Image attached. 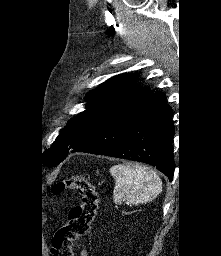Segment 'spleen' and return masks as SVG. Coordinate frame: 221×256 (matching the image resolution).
Returning <instances> with one entry per match:
<instances>
[{
    "label": "spleen",
    "instance_id": "3e777b00",
    "mask_svg": "<svg viewBox=\"0 0 221 256\" xmlns=\"http://www.w3.org/2000/svg\"><path fill=\"white\" fill-rule=\"evenodd\" d=\"M115 179L113 199L115 203L138 205L151 202L162 191V182L151 168L140 164H119L110 169Z\"/></svg>",
    "mask_w": 221,
    "mask_h": 256
}]
</instances>
